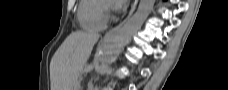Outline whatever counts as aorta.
<instances>
[{"label":"aorta","mask_w":228,"mask_h":90,"mask_svg":"<svg viewBox=\"0 0 228 90\" xmlns=\"http://www.w3.org/2000/svg\"><path fill=\"white\" fill-rule=\"evenodd\" d=\"M154 2L155 0H140L136 13L119 30L107 37L99 58L101 69L117 59L121 49L128 44L151 13Z\"/></svg>","instance_id":"762f6f07"}]
</instances>
